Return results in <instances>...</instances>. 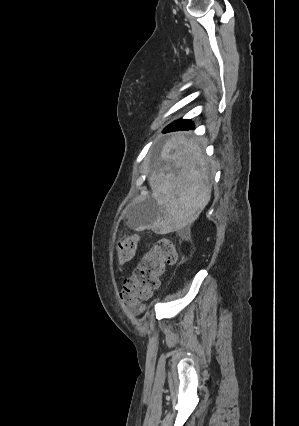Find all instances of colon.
I'll return each instance as SVG.
<instances>
[{"label": "colon", "mask_w": 299, "mask_h": 426, "mask_svg": "<svg viewBox=\"0 0 299 426\" xmlns=\"http://www.w3.org/2000/svg\"><path fill=\"white\" fill-rule=\"evenodd\" d=\"M139 239L130 235L118 242L116 247L117 260L120 266L131 262L137 251ZM176 260L174 242L170 238H160L146 251L134 269L132 275L124 281L120 293L122 302L137 309L141 301L149 299L159 287L160 276L166 265Z\"/></svg>", "instance_id": "1"}]
</instances>
